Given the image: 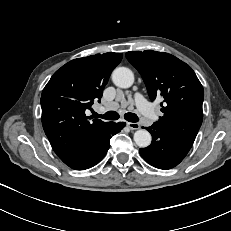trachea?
Listing matches in <instances>:
<instances>
[{
	"mask_svg": "<svg viewBox=\"0 0 231 231\" xmlns=\"http://www.w3.org/2000/svg\"><path fill=\"white\" fill-rule=\"evenodd\" d=\"M94 117L102 118V119H106V120H117V119H119V114L115 111H108L104 115L94 113ZM124 117L129 122L135 123V122L139 121L138 116L134 113H126L124 115Z\"/></svg>",
	"mask_w": 231,
	"mask_h": 231,
	"instance_id": "3493384b",
	"label": "trachea"
}]
</instances>
